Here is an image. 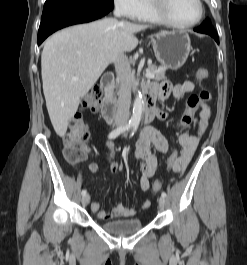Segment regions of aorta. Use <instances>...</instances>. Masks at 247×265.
<instances>
[{
	"label": "aorta",
	"mask_w": 247,
	"mask_h": 265,
	"mask_svg": "<svg viewBox=\"0 0 247 265\" xmlns=\"http://www.w3.org/2000/svg\"><path fill=\"white\" fill-rule=\"evenodd\" d=\"M142 111H143V99L142 95L139 92L134 100L133 104V113L130 119V124L133 126H138L141 120L142 116Z\"/></svg>",
	"instance_id": "aorta-1"
}]
</instances>
